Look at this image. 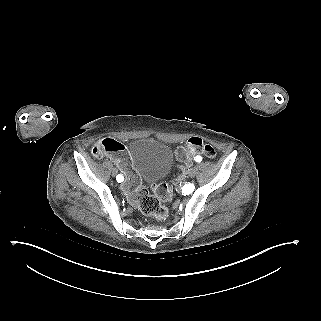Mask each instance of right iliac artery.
<instances>
[{"mask_svg":"<svg viewBox=\"0 0 321 321\" xmlns=\"http://www.w3.org/2000/svg\"><path fill=\"white\" fill-rule=\"evenodd\" d=\"M116 179H117L118 182H121V181H123V176L118 175Z\"/></svg>","mask_w":321,"mask_h":321,"instance_id":"1","label":"right iliac artery"}]
</instances>
